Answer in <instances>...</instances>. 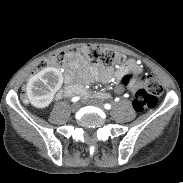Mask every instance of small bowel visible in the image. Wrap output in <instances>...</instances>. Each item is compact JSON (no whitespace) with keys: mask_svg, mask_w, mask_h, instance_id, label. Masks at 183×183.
I'll return each instance as SVG.
<instances>
[{"mask_svg":"<svg viewBox=\"0 0 183 183\" xmlns=\"http://www.w3.org/2000/svg\"><path fill=\"white\" fill-rule=\"evenodd\" d=\"M79 72L83 78L84 82H89L91 80H102L109 81L113 76L123 78L127 74L133 75V81L128 85L131 90L140 83L142 73L134 60H129L124 66H122L116 73L111 68L102 67H88L86 65L80 64L77 66ZM81 87V86H78ZM83 88V87H82ZM84 90V88H83ZM85 91V90H84ZM86 95V92H85ZM98 98H107L109 95L107 93H97Z\"/></svg>","mask_w":183,"mask_h":183,"instance_id":"c3829d8e","label":"small bowel"}]
</instances>
